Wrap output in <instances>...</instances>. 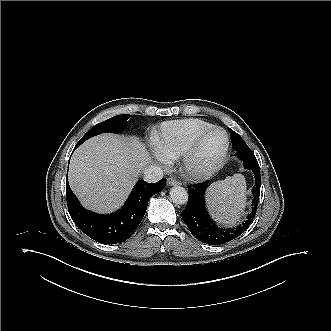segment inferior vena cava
<instances>
[{
	"mask_svg": "<svg viewBox=\"0 0 331 331\" xmlns=\"http://www.w3.org/2000/svg\"><path fill=\"white\" fill-rule=\"evenodd\" d=\"M163 178V170L159 165L150 164L143 169V179L148 183H155Z\"/></svg>",
	"mask_w": 331,
	"mask_h": 331,
	"instance_id": "inferior-vena-cava-1",
	"label": "inferior vena cava"
}]
</instances>
